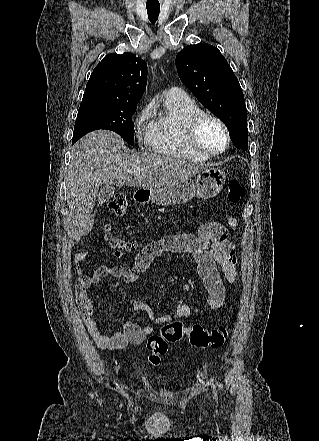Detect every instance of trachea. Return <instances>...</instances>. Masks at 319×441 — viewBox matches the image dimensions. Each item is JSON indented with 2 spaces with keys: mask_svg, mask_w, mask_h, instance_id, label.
<instances>
[{
  "mask_svg": "<svg viewBox=\"0 0 319 441\" xmlns=\"http://www.w3.org/2000/svg\"><path fill=\"white\" fill-rule=\"evenodd\" d=\"M146 8H147L148 18L150 22L154 24L158 20L160 13V6L153 5V6H146Z\"/></svg>",
  "mask_w": 319,
  "mask_h": 441,
  "instance_id": "trachea-1",
  "label": "trachea"
}]
</instances>
